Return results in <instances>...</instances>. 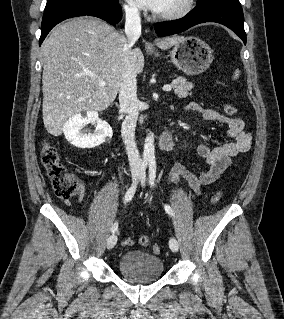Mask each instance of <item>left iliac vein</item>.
Masks as SVG:
<instances>
[{"label":"left iliac vein","instance_id":"1","mask_svg":"<svg viewBox=\"0 0 284 319\" xmlns=\"http://www.w3.org/2000/svg\"><path fill=\"white\" fill-rule=\"evenodd\" d=\"M141 184H145V174L142 175L141 177ZM169 247L173 252H177L179 249V243L175 237H171L169 239Z\"/></svg>","mask_w":284,"mask_h":319}]
</instances>
